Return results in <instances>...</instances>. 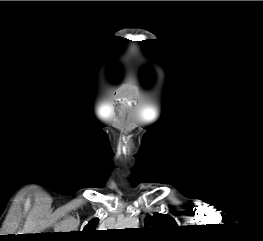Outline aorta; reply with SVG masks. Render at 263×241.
I'll use <instances>...</instances> for the list:
<instances>
[{"instance_id":"obj_1","label":"aorta","mask_w":263,"mask_h":241,"mask_svg":"<svg viewBox=\"0 0 263 241\" xmlns=\"http://www.w3.org/2000/svg\"><path fill=\"white\" fill-rule=\"evenodd\" d=\"M138 225V221L135 217H129L126 218L122 223L121 227L122 228H136Z\"/></svg>"}]
</instances>
